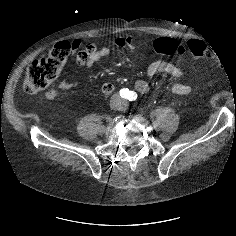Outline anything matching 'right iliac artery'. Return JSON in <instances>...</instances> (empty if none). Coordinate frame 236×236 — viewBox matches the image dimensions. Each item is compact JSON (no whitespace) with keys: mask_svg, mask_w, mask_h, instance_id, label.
<instances>
[{"mask_svg":"<svg viewBox=\"0 0 236 236\" xmlns=\"http://www.w3.org/2000/svg\"><path fill=\"white\" fill-rule=\"evenodd\" d=\"M129 93H130V91L127 88H123L120 90V96L123 98H128Z\"/></svg>","mask_w":236,"mask_h":236,"instance_id":"82829eb1","label":"right iliac artery"}]
</instances>
